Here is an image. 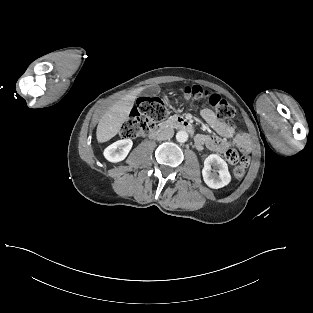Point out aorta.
<instances>
[{"label": "aorta", "mask_w": 313, "mask_h": 313, "mask_svg": "<svg viewBox=\"0 0 313 313\" xmlns=\"http://www.w3.org/2000/svg\"><path fill=\"white\" fill-rule=\"evenodd\" d=\"M187 139H188V133L186 131L180 130L176 133V140L178 142L183 143V142H186Z\"/></svg>", "instance_id": "762f6f07"}]
</instances>
